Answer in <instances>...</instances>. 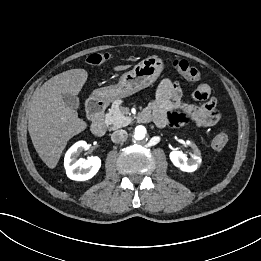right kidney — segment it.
Instances as JSON below:
<instances>
[{
	"label": "right kidney",
	"instance_id": "1",
	"mask_svg": "<svg viewBox=\"0 0 261 261\" xmlns=\"http://www.w3.org/2000/svg\"><path fill=\"white\" fill-rule=\"evenodd\" d=\"M87 148V142L78 141L66 152L64 167L68 178L76 181H86L95 176L100 169L101 159L97 156L77 160L80 152Z\"/></svg>",
	"mask_w": 261,
	"mask_h": 261
}]
</instances>
